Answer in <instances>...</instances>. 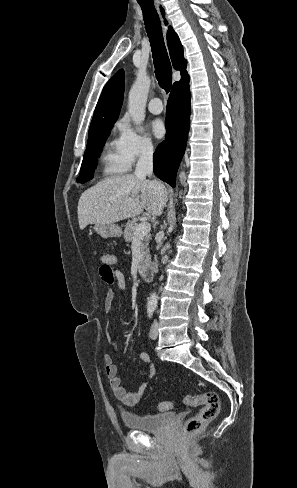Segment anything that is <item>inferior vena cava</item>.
<instances>
[{
	"instance_id": "inferior-vena-cava-1",
	"label": "inferior vena cava",
	"mask_w": 297,
	"mask_h": 488,
	"mask_svg": "<svg viewBox=\"0 0 297 488\" xmlns=\"http://www.w3.org/2000/svg\"><path fill=\"white\" fill-rule=\"evenodd\" d=\"M137 177H149L153 174V147L152 145H144L134 172Z\"/></svg>"
}]
</instances>
